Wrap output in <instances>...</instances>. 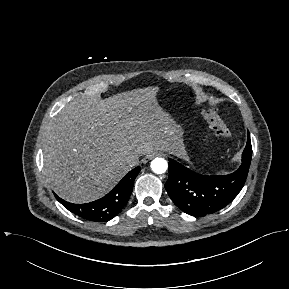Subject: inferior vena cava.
I'll use <instances>...</instances> for the list:
<instances>
[{"label": "inferior vena cava", "mask_w": 289, "mask_h": 289, "mask_svg": "<svg viewBox=\"0 0 289 289\" xmlns=\"http://www.w3.org/2000/svg\"><path fill=\"white\" fill-rule=\"evenodd\" d=\"M126 161L131 167H134L138 164V160L134 156L126 157Z\"/></svg>", "instance_id": "inferior-vena-cava-1"}]
</instances>
